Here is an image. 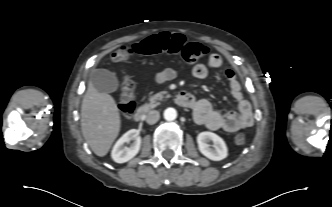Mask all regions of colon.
Instances as JSON below:
<instances>
[{"mask_svg": "<svg viewBox=\"0 0 332 207\" xmlns=\"http://www.w3.org/2000/svg\"><path fill=\"white\" fill-rule=\"evenodd\" d=\"M166 52L179 55L186 63L192 64L207 54V48L195 42H188L182 34L160 33L132 45H123L113 53V60L121 62L129 57L138 55H150ZM135 83L130 77L123 82L120 97V109L125 117H129L135 110L134 100ZM245 142V136L238 134L235 143L241 145Z\"/></svg>", "mask_w": 332, "mask_h": 207, "instance_id": "obj_1", "label": "colon"}]
</instances>
